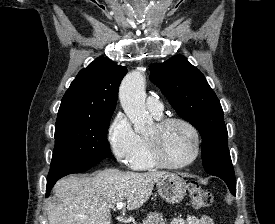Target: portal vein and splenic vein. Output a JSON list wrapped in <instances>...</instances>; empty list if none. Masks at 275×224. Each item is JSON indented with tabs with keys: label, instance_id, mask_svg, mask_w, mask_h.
<instances>
[{
	"label": "portal vein and splenic vein",
	"instance_id": "obj_1",
	"mask_svg": "<svg viewBox=\"0 0 275 224\" xmlns=\"http://www.w3.org/2000/svg\"><path fill=\"white\" fill-rule=\"evenodd\" d=\"M124 207V203L121 201L116 205L117 210H121Z\"/></svg>",
	"mask_w": 275,
	"mask_h": 224
}]
</instances>
